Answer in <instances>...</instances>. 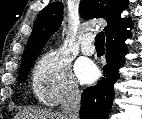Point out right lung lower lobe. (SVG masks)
Returning <instances> with one entry per match:
<instances>
[{"label": "right lung lower lobe", "instance_id": "right-lung-lower-lobe-1", "mask_svg": "<svg viewBox=\"0 0 142 119\" xmlns=\"http://www.w3.org/2000/svg\"><path fill=\"white\" fill-rule=\"evenodd\" d=\"M130 34L106 42V62L104 78L96 86L85 89L81 95V119H107L113 98L114 83L119 78V69L127 53L125 40Z\"/></svg>", "mask_w": 142, "mask_h": 119}]
</instances>
